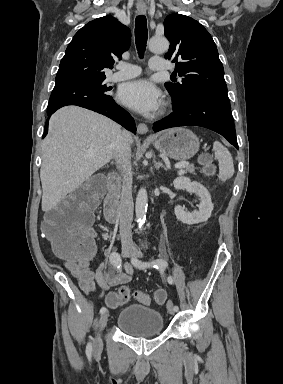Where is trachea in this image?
Masks as SVG:
<instances>
[{"label":"trachea","instance_id":"3493384b","mask_svg":"<svg viewBox=\"0 0 283 384\" xmlns=\"http://www.w3.org/2000/svg\"><path fill=\"white\" fill-rule=\"evenodd\" d=\"M148 40L147 20L144 15H139L135 20V43L139 57L142 59ZM173 78L174 75H171Z\"/></svg>","mask_w":283,"mask_h":384}]
</instances>
